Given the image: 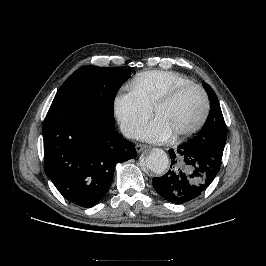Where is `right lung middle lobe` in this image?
Here are the masks:
<instances>
[{
  "label": "right lung middle lobe",
  "instance_id": "right-lung-middle-lobe-1",
  "mask_svg": "<svg viewBox=\"0 0 266 266\" xmlns=\"http://www.w3.org/2000/svg\"><path fill=\"white\" fill-rule=\"evenodd\" d=\"M130 75L118 67H81L62 84L51 105L94 109L113 117L116 93Z\"/></svg>",
  "mask_w": 266,
  "mask_h": 266
}]
</instances>
